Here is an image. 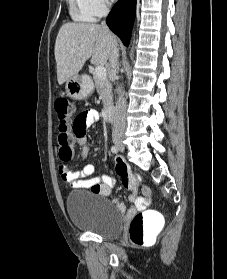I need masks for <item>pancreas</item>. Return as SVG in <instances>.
<instances>
[{
	"label": "pancreas",
	"mask_w": 227,
	"mask_h": 279,
	"mask_svg": "<svg viewBox=\"0 0 227 279\" xmlns=\"http://www.w3.org/2000/svg\"><path fill=\"white\" fill-rule=\"evenodd\" d=\"M93 80L95 82V86L97 92L100 94L104 107H108L112 104V86L110 81L106 79H99L95 72L93 73Z\"/></svg>",
	"instance_id": "1"
}]
</instances>
